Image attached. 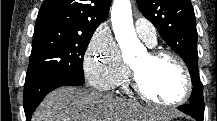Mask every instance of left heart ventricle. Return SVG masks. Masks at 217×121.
<instances>
[{"label":"left heart ventricle","mask_w":217,"mask_h":121,"mask_svg":"<svg viewBox=\"0 0 217 121\" xmlns=\"http://www.w3.org/2000/svg\"><path fill=\"white\" fill-rule=\"evenodd\" d=\"M134 68L145 90L162 102L177 99L184 89V79L180 69L169 58L153 61L148 54L130 64Z\"/></svg>","instance_id":"left-heart-ventricle-1"}]
</instances>
